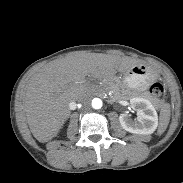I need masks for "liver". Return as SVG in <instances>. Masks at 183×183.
<instances>
[{
	"mask_svg": "<svg viewBox=\"0 0 183 183\" xmlns=\"http://www.w3.org/2000/svg\"><path fill=\"white\" fill-rule=\"evenodd\" d=\"M138 60L102 53L79 52L54 60L28 80L23 97L27 123L33 136L42 143L57 136L70 116L69 103L79 99L87 75L106 78L128 71Z\"/></svg>",
	"mask_w": 183,
	"mask_h": 183,
	"instance_id": "obj_1",
	"label": "liver"
}]
</instances>
